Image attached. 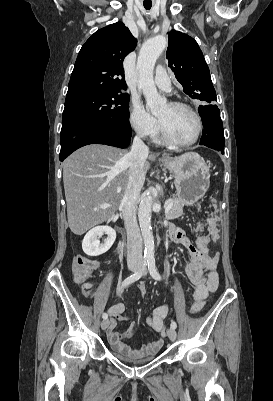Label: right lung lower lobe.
I'll return each instance as SVG.
<instances>
[{"label": "right lung lower lobe", "instance_id": "right-lung-lower-lobe-1", "mask_svg": "<svg viewBox=\"0 0 273 401\" xmlns=\"http://www.w3.org/2000/svg\"><path fill=\"white\" fill-rule=\"evenodd\" d=\"M131 128L78 120L62 125L60 161L76 149L88 144H106L125 148L129 145Z\"/></svg>", "mask_w": 273, "mask_h": 401}]
</instances>
